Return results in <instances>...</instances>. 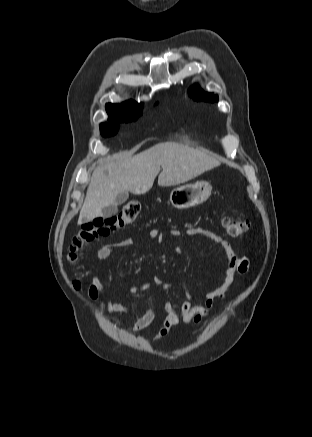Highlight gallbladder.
Returning <instances> with one entry per match:
<instances>
[{"label": "gallbladder", "mask_w": 312, "mask_h": 437, "mask_svg": "<svg viewBox=\"0 0 312 437\" xmlns=\"http://www.w3.org/2000/svg\"><path fill=\"white\" fill-rule=\"evenodd\" d=\"M128 197H129L128 192L119 193L118 196L116 197L115 204H111L107 207H104L101 211V216L103 218H107L115 215L118 212L117 206L126 202Z\"/></svg>", "instance_id": "obj_1"}]
</instances>
